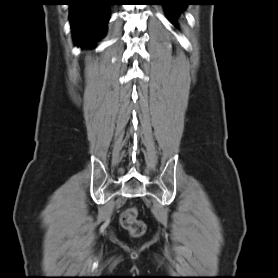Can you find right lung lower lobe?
I'll return each instance as SVG.
<instances>
[{
  "label": "right lung lower lobe",
  "mask_w": 278,
  "mask_h": 278,
  "mask_svg": "<svg viewBox=\"0 0 278 278\" xmlns=\"http://www.w3.org/2000/svg\"><path fill=\"white\" fill-rule=\"evenodd\" d=\"M70 22L78 46L91 48L105 32L110 18V0H71Z\"/></svg>",
  "instance_id": "right-lung-lower-lobe-1"
}]
</instances>
